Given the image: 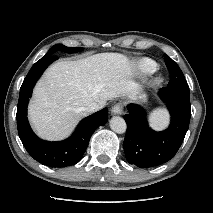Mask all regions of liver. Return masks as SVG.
Here are the masks:
<instances>
[{"label":"liver","instance_id":"6515ba94","mask_svg":"<svg viewBox=\"0 0 213 213\" xmlns=\"http://www.w3.org/2000/svg\"><path fill=\"white\" fill-rule=\"evenodd\" d=\"M132 64L119 53H101L50 66L38 81L29 105V119L37 134L47 140L67 137L88 112L89 103L116 97L133 98L138 85Z\"/></svg>","mask_w":213,"mask_h":213}]
</instances>
